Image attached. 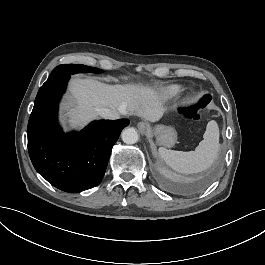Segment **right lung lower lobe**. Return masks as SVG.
<instances>
[{
    "label": "right lung lower lobe",
    "mask_w": 265,
    "mask_h": 265,
    "mask_svg": "<svg viewBox=\"0 0 265 265\" xmlns=\"http://www.w3.org/2000/svg\"><path fill=\"white\" fill-rule=\"evenodd\" d=\"M70 75L47 80L28 122V151L35 169L54 187L69 193L98 185L113 145L129 120H100L65 134L58 124V103Z\"/></svg>",
    "instance_id": "98d812e1"
}]
</instances>
